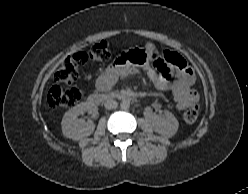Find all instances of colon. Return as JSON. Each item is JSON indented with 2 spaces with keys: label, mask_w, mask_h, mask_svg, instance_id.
Wrapping results in <instances>:
<instances>
[{
  "label": "colon",
  "mask_w": 248,
  "mask_h": 194,
  "mask_svg": "<svg viewBox=\"0 0 248 194\" xmlns=\"http://www.w3.org/2000/svg\"><path fill=\"white\" fill-rule=\"evenodd\" d=\"M142 53L143 51L141 50H132L121 57L135 61ZM111 56L112 53L109 42L101 41L95 43L88 51H80L66 58L58 68L55 74L56 83L51 87L48 93L47 101L49 106L56 109H65L75 106L81 100L83 92L78 87L66 86V84L73 82L78 77L80 68L87 61H107ZM152 57L156 59L157 64L162 63L157 53H154ZM199 109L198 104L190 106L184 112V121L187 124L194 123L198 118Z\"/></svg>",
  "instance_id": "colon-1"
}]
</instances>
